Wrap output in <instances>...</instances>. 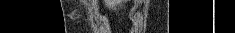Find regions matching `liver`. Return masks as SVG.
Here are the masks:
<instances>
[{
	"mask_svg": "<svg viewBox=\"0 0 235 33\" xmlns=\"http://www.w3.org/2000/svg\"><path fill=\"white\" fill-rule=\"evenodd\" d=\"M105 7L109 10H117L118 0H104Z\"/></svg>",
	"mask_w": 235,
	"mask_h": 33,
	"instance_id": "1",
	"label": "liver"
}]
</instances>
